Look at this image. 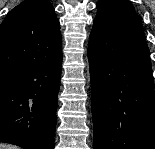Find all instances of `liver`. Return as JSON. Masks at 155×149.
<instances>
[{
	"mask_svg": "<svg viewBox=\"0 0 155 149\" xmlns=\"http://www.w3.org/2000/svg\"><path fill=\"white\" fill-rule=\"evenodd\" d=\"M0 149H19L14 145L0 143Z\"/></svg>",
	"mask_w": 155,
	"mask_h": 149,
	"instance_id": "liver-1",
	"label": "liver"
}]
</instances>
